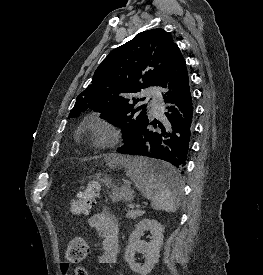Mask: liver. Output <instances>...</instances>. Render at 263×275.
Listing matches in <instances>:
<instances>
[{
	"mask_svg": "<svg viewBox=\"0 0 263 275\" xmlns=\"http://www.w3.org/2000/svg\"><path fill=\"white\" fill-rule=\"evenodd\" d=\"M121 160H122V158L114 156V157L112 158V161H111V162H112V163H114V162L120 163Z\"/></svg>",
	"mask_w": 263,
	"mask_h": 275,
	"instance_id": "1",
	"label": "liver"
}]
</instances>
